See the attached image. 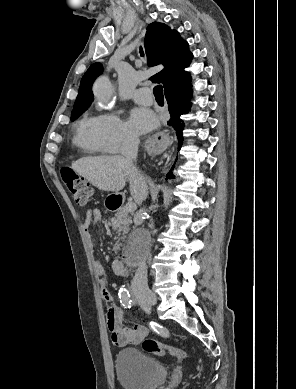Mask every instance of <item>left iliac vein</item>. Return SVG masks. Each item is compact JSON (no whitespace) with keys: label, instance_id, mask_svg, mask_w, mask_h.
Segmentation results:
<instances>
[{"label":"left iliac vein","instance_id":"1","mask_svg":"<svg viewBox=\"0 0 296 389\" xmlns=\"http://www.w3.org/2000/svg\"><path fill=\"white\" fill-rule=\"evenodd\" d=\"M141 307L143 308L144 311L150 312L151 307L149 304L141 303Z\"/></svg>","mask_w":296,"mask_h":389}]
</instances>
